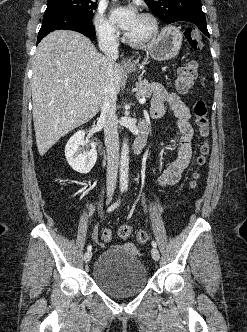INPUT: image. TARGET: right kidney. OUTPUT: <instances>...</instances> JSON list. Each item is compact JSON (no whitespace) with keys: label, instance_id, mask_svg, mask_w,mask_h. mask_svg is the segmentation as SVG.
Returning a JSON list of instances; mask_svg holds the SVG:
<instances>
[{"label":"right kidney","instance_id":"obj_1","mask_svg":"<svg viewBox=\"0 0 247 332\" xmlns=\"http://www.w3.org/2000/svg\"><path fill=\"white\" fill-rule=\"evenodd\" d=\"M87 143L85 132L80 130L68 140L65 146V156L73 170L86 174L94 167L97 160L96 143L91 142V150L84 151L81 146Z\"/></svg>","mask_w":247,"mask_h":332}]
</instances>
